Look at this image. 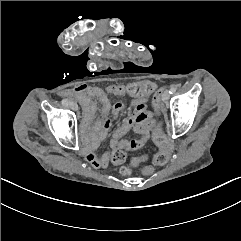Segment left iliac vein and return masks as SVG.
Listing matches in <instances>:
<instances>
[{
  "label": "left iliac vein",
  "mask_w": 241,
  "mask_h": 241,
  "mask_svg": "<svg viewBox=\"0 0 241 241\" xmlns=\"http://www.w3.org/2000/svg\"><path fill=\"white\" fill-rule=\"evenodd\" d=\"M169 98H170L169 92H168V91H165V92L162 94V101L166 103V102L169 100Z\"/></svg>",
  "instance_id": "1"
}]
</instances>
